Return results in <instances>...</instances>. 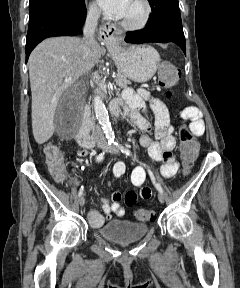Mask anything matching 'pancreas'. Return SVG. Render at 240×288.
Masks as SVG:
<instances>
[{
  "mask_svg": "<svg viewBox=\"0 0 240 288\" xmlns=\"http://www.w3.org/2000/svg\"><path fill=\"white\" fill-rule=\"evenodd\" d=\"M116 84L121 87V88H125L127 87L128 84H130V81L124 77L121 73H117L116 75ZM98 92L101 93L103 96H106V90H104L103 88H99Z\"/></svg>",
  "mask_w": 240,
  "mask_h": 288,
  "instance_id": "obj_1",
  "label": "pancreas"
}]
</instances>
